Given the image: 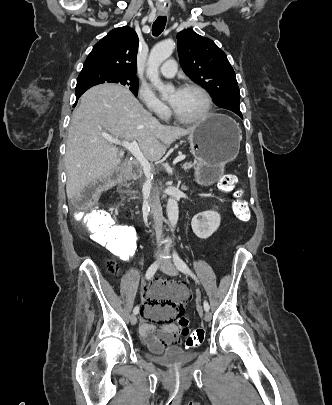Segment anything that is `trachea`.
I'll return each instance as SVG.
<instances>
[{
  "mask_svg": "<svg viewBox=\"0 0 332 405\" xmlns=\"http://www.w3.org/2000/svg\"><path fill=\"white\" fill-rule=\"evenodd\" d=\"M166 25V16H158V18L156 19V21L153 23L152 26V33L154 36H158L160 35Z\"/></svg>",
  "mask_w": 332,
  "mask_h": 405,
  "instance_id": "1",
  "label": "trachea"
}]
</instances>
